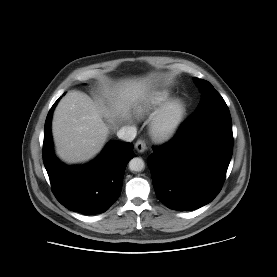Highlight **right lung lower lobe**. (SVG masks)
Here are the masks:
<instances>
[{"label":"right lung lower lobe","mask_w":277,"mask_h":277,"mask_svg":"<svg viewBox=\"0 0 277 277\" xmlns=\"http://www.w3.org/2000/svg\"><path fill=\"white\" fill-rule=\"evenodd\" d=\"M50 109L44 127L43 162L53 193L67 209L86 215L103 213L121 194L126 165L133 158V144L109 142L94 161L67 166L53 152Z\"/></svg>","instance_id":"98d812e1"}]
</instances>
